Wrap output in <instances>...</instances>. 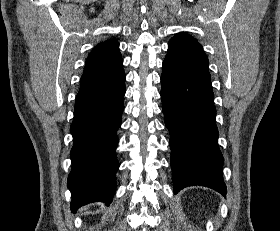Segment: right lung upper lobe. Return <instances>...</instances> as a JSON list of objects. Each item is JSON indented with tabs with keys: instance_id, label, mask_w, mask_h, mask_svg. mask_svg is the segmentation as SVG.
I'll use <instances>...</instances> for the list:
<instances>
[{
	"instance_id": "obj_1",
	"label": "right lung upper lobe",
	"mask_w": 280,
	"mask_h": 231,
	"mask_svg": "<svg viewBox=\"0 0 280 231\" xmlns=\"http://www.w3.org/2000/svg\"><path fill=\"white\" fill-rule=\"evenodd\" d=\"M124 82L125 73L119 43L115 39L104 41L91 51L86 60L75 101L90 100L123 86Z\"/></svg>"
}]
</instances>
